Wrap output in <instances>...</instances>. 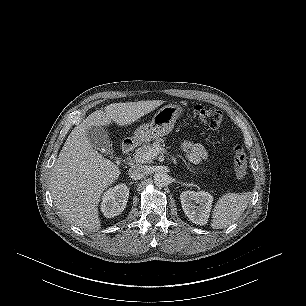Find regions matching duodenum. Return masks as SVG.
Wrapping results in <instances>:
<instances>
[{
  "instance_id": "duodenum-1",
  "label": "duodenum",
  "mask_w": 306,
  "mask_h": 306,
  "mask_svg": "<svg viewBox=\"0 0 306 306\" xmlns=\"http://www.w3.org/2000/svg\"><path fill=\"white\" fill-rule=\"evenodd\" d=\"M134 146L135 142L133 140L131 139L125 140L121 147L123 154L128 155L134 149Z\"/></svg>"
}]
</instances>
